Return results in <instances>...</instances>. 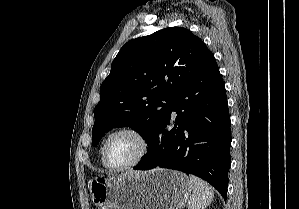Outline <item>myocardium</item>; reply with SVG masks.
Returning <instances> with one entry per match:
<instances>
[{"label":"myocardium","mask_w":299,"mask_h":209,"mask_svg":"<svg viewBox=\"0 0 299 209\" xmlns=\"http://www.w3.org/2000/svg\"><path fill=\"white\" fill-rule=\"evenodd\" d=\"M120 134H130L134 136L140 144V151L138 155L128 164L122 166H112L107 162V149L112 138ZM150 148H151L150 140L142 130L132 126L122 127L112 132L105 140V143L102 148V162L106 168L113 171L128 170L139 165L148 155Z\"/></svg>","instance_id":"1"}]
</instances>
